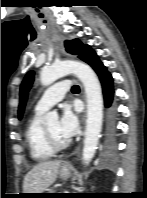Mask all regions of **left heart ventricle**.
<instances>
[{"mask_svg": "<svg viewBox=\"0 0 147 198\" xmlns=\"http://www.w3.org/2000/svg\"><path fill=\"white\" fill-rule=\"evenodd\" d=\"M46 128H47V130L49 131L51 137L53 138V140H54L56 143L63 144V143L66 142V141L63 140V139L61 138V136L59 135V131H58V122H57V121L50 123L49 125L46 126Z\"/></svg>", "mask_w": 147, "mask_h": 198, "instance_id": "left-heart-ventricle-1", "label": "left heart ventricle"}]
</instances>
